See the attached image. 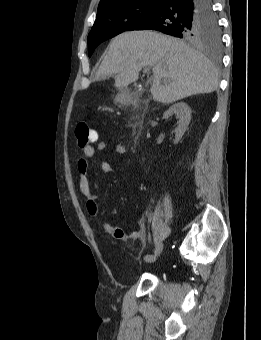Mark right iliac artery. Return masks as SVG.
I'll return each instance as SVG.
<instances>
[{
    "instance_id": "82829eb1",
    "label": "right iliac artery",
    "mask_w": 261,
    "mask_h": 340,
    "mask_svg": "<svg viewBox=\"0 0 261 340\" xmlns=\"http://www.w3.org/2000/svg\"><path fill=\"white\" fill-rule=\"evenodd\" d=\"M144 259H145V261L148 262V263H152V262L155 261V257H154L153 255H150V254L146 255V256L144 257Z\"/></svg>"
}]
</instances>
